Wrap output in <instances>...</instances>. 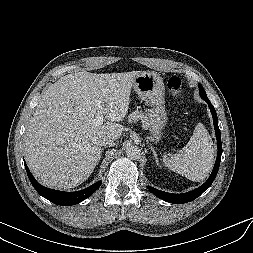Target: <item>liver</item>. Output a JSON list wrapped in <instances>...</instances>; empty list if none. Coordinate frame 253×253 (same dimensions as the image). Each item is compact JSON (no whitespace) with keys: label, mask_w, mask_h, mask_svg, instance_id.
<instances>
[{"label":"liver","mask_w":253,"mask_h":253,"mask_svg":"<svg viewBox=\"0 0 253 253\" xmlns=\"http://www.w3.org/2000/svg\"><path fill=\"white\" fill-rule=\"evenodd\" d=\"M142 71L68 74L42 94L24 137L28 167L48 187L70 189L89 178L102 155L104 137L117 140L133 82ZM108 122L95 125L100 108Z\"/></svg>","instance_id":"obj_1"}]
</instances>
